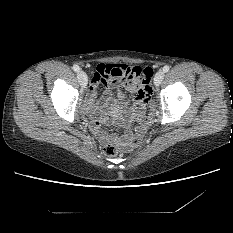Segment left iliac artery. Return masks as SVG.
<instances>
[{
  "mask_svg": "<svg viewBox=\"0 0 233 233\" xmlns=\"http://www.w3.org/2000/svg\"><path fill=\"white\" fill-rule=\"evenodd\" d=\"M169 69H170V68H169V66H167V65L163 67V71H164L165 73L168 72Z\"/></svg>",
  "mask_w": 233,
  "mask_h": 233,
  "instance_id": "1",
  "label": "left iliac artery"
}]
</instances>
